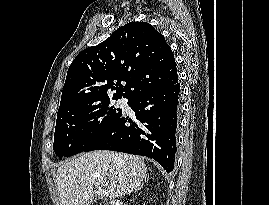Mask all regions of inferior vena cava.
Here are the masks:
<instances>
[{
	"label": "inferior vena cava",
	"instance_id": "obj_1",
	"mask_svg": "<svg viewBox=\"0 0 269 205\" xmlns=\"http://www.w3.org/2000/svg\"><path fill=\"white\" fill-rule=\"evenodd\" d=\"M111 205H120V201L118 199L112 200Z\"/></svg>",
	"mask_w": 269,
	"mask_h": 205
}]
</instances>
